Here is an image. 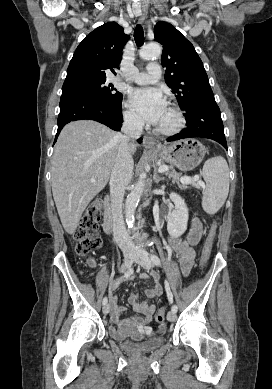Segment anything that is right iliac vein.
<instances>
[{"instance_id":"right-iliac-vein-1","label":"right iliac vein","mask_w":272,"mask_h":389,"mask_svg":"<svg viewBox=\"0 0 272 389\" xmlns=\"http://www.w3.org/2000/svg\"><path fill=\"white\" fill-rule=\"evenodd\" d=\"M134 258H135V254L134 253H125L124 254V262H123V265L121 267V270L122 271L128 270L132 266ZM102 310H103V313L105 315H107L109 313V310H110L109 304H105L103 306Z\"/></svg>"}]
</instances>
